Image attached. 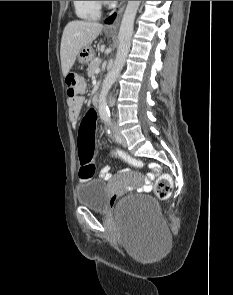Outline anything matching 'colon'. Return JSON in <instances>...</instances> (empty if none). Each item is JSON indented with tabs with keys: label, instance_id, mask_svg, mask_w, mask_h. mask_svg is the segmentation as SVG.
Instances as JSON below:
<instances>
[{
	"label": "colon",
	"instance_id": "colon-1",
	"mask_svg": "<svg viewBox=\"0 0 233 295\" xmlns=\"http://www.w3.org/2000/svg\"><path fill=\"white\" fill-rule=\"evenodd\" d=\"M65 83L69 99L80 97L85 91V81L78 74L69 73L65 78ZM94 129V116L89 114L81 123L79 137V177L84 180L93 177L96 171V165L93 159ZM111 156L121 159L134 167H140L142 165L141 161L132 158L119 150L113 151ZM172 185V178L168 174L161 175L154 185L156 196L162 200L168 199L171 196Z\"/></svg>",
	"mask_w": 233,
	"mask_h": 295
}]
</instances>
